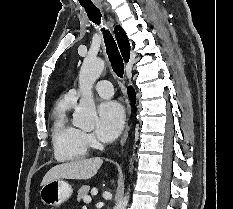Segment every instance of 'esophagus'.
I'll return each instance as SVG.
<instances>
[{
	"instance_id": "1",
	"label": "esophagus",
	"mask_w": 233,
	"mask_h": 209,
	"mask_svg": "<svg viewBox=\"0 0 233 209\" xmlns=\"http://www.w3.org/2000/svg\"><path fill=\"white\" fill-rule=\"evenodd\" d=\"M106 11H108V8H106ZM129 130H130V124L127 123L126 128H125V131H124V133H123V136H122V138H121V140H120V145H121V146H123L124 143L126 142L127 137H128V134H129Z\"/></svg>"
}]
</instances>
